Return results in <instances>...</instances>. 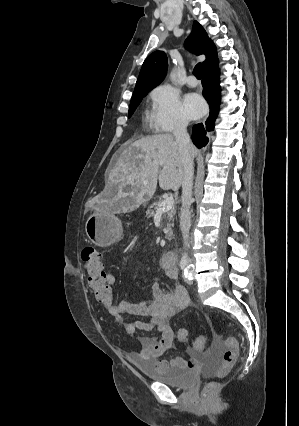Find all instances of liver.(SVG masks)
Instances as JSON below:
<instances>
[{
	"instance_id": "6515ba94",
	"label": "liver",
	"mask_w": 299,
	"mask_h": 426,
	"mask_svg": "<svg viewBox=\"0 0 299 426\" xmlns=\"http://www.w3.org/2000/svg\"><path fill=\"white\" fill-rule=\"evenodd\" d=\"M190 153L193 160V145ZM182 180V149L173 135L141 138L121 149L99 203L113 212H130L151 199L158 182L163 190L177 191Z\"/></svg>"
}]
</instances>
